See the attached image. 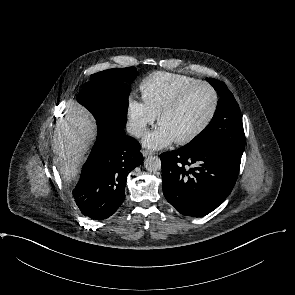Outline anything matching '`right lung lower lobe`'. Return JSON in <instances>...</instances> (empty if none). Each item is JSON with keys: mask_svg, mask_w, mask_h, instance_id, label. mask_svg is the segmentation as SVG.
I'll use <instances>...</instances> for the list:
<instances>
[{"mask_svg": "<svg viewBox=\"0 0 295 295\" xmlns=\"http://www.w3.org/2000/svg\"><path fill=\"white\" fill-rule=\"evenodd\" d=\"M96 123L97 140L72 194L83 215L102 220L123 203L126 178L143 156L139 142L126 136L124 127Z\"/></svg>", "mask_w": 295, "mask_h": 295, "instance_id": "98d812e1", "label": "right lung lower lobe"}]
</instances>
